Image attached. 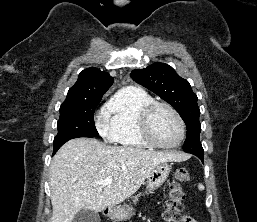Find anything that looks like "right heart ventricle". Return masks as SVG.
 <instances>
[{
    "instance_id": "obj_1",
    "label": "right heart ventricle",
    "mask_w": 257,
    "mask_h": 222,
    "mask_svg": "<svg viewBox=\"0 0 257 222\" xmlns=\"http://www.w3.org/2000/svg\"><path fill=\"white\" fill-rule=\"evenodd\" d=\"M153 101L154 98L141 88L127 87L118 91L104 107L109 139L127 148H150L141 135L139 118L142 110Z\"/></svg>"
}]
</instances>
